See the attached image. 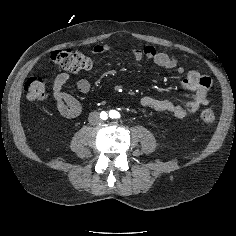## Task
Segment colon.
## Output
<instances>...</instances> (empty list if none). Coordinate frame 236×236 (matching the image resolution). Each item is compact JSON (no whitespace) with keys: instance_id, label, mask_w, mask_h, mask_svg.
Wrapping results in <instances>:
<instances>
[{"instance_id":"obj_1","label":"colon","mask_w":236,"mask_h":236,"mask_svg":"<svg viewBox=\"0 0 236 236\" xmlns=\"http://www.w3.org/2000/svg\"><path fill=\"white\" fill-rule=\"evenodd\" d=\"M52 60L61 68L70 71H84L91 68V60L81 52L66 49L52 53ZM26 97L30 102H39L46 96V84L42 77L34 76L27 80L25 84ZM201 119L207 125H212L216 121V114L210 108H205L201 112Z\"/></svg>"}]
</instances>
